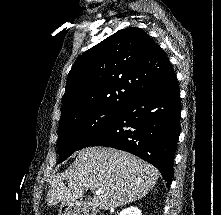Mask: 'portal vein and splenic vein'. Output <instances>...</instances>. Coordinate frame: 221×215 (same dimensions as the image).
<instances>
[{"label": "portal vein and splenic vein", "instance_id": "18ae733b", "mask_svg": "<svg viewBox=\"0 0 221 215\" xmlns=\"http://www.w3.org/2000/svg\"><path fill=\"white\" fill-rule=\"evenodd\" d=\"M102 192H103L102 189H97V190H96V193H97V194H100V193H102Z\"/></svg>", "mask_w": 221, "mask_h": 215}]
</instances>
